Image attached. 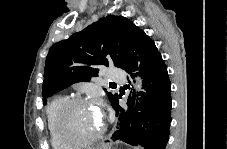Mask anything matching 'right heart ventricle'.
Listing matches in <instances>:
<instances>
[{
    "mask_svg": "<svg viewBox=\"0 0 227 149\" xmlns=\"http://www.w3.org/2000/svg\"><path fill=\"white\" fill-rule=\"evenodd\" d=\"M65 100L66 98L62 96H56L49 102L46 108L47 126L53 149H67L66 147L68 146L60 140L55 127L57 110Z\"/></svg>",
    "mask_w": 227,
    "mask_h": 149,
    "instance_id": "e07e8e85",
    "label": "right heart ventricle"
}]
</instances>
